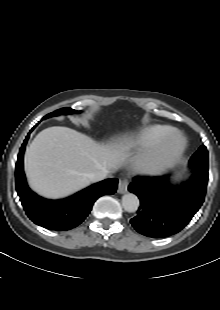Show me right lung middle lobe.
Returning a JSON list of instances; mask_svg holds the SVG:
<instances>
[{
  "label": "right lung middle lobe",
  "mask_w": 220,
  "mask_h": 310,
  "mask_svg": "<svg viewBox=\"0 0 220 310\" xmlns=\"http://www.w3.org/2000/svg\"><path fill=\"white\" fill-rule=\"evenodd\" d=\"M79 111H76L74 109H71V108H62V109H59V110H56L48 115H46L44 117V119L48 118V117H51V116H57V115H60V114H69V113H78Z\"/></svg>",
  "instance_id": "obj_1"
}]
</instances>
